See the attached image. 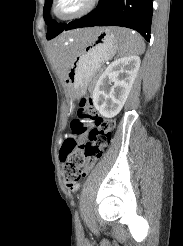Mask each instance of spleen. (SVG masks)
Here are the masks:
<instances>
[{"mask_svg": "<svg viewBox=\"0 0 183 246\" xmlns=\"http://www.w3.org/2000/svg\"><path fill=\"white\" fill-rule=\"evenodd\" d=\"M117 36L121 44V54H142L145 51L144 40L138 33L130 29L120 28ZM95 55L96 53L93 52L91 56H84L80 61V67L90 63V59L95 57Z\"/></svg>", "mask_w": 183, "mask_h": 246, "instance_id": "3e777b00", "label": "spleen"}]
</instances>
